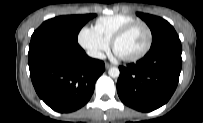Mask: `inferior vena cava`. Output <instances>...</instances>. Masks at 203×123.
Returning a JSON list of instances; mask_svg holds the SVG:
<instances>
[{"label":"inferior vena cava","instance_id":"obj_1","mask_svg":"<svg viewBox=\"0 0 203 123\" xmlns=\"http://www.w3.org/2000/svg\"><path fill=\"white\" fill-rule=\"evenodd\" d=\"M88 55L90 57L98 58V59H102V60L106 58L104 53L97 51V50L88 51Z\"/></svg>","mask_w":203,"mask_h":123}]
</instances>
